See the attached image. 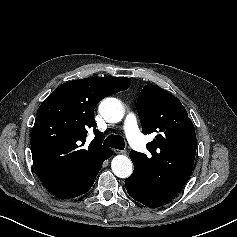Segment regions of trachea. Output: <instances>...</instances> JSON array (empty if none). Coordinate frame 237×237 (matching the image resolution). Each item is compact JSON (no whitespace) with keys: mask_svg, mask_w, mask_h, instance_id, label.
<instances>
[{"mask_svg":"<svg viewBox=\"0 0 237 237\" xmlns=\"http://www.w3.org/2000/svg\"><path fill=\"white\" fill-rule=\"evenodd\" d=\"M104 144L115 149L124 150L125 142L124 139L119 135H109Z\"/></svg>","mask_w":237,"mask_h":237,"instance_id":"obj_1","label":"trachea"}]
</instances>
